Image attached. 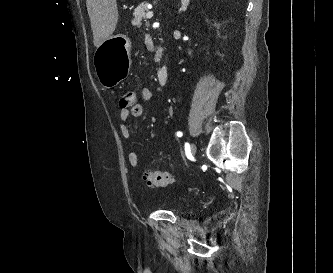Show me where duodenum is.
Segmentation results:
<instances>
[{
  "label": "duodenum",
  "mask_w": 333,
  "mask_h": 273,
  "mask_svg": "<svg viewBox=\"0 0 333 273\" xmlns=\"http://www.w3.org/2000/svg\"><path fill=\"white\" fill-rule=\"evenodd\" d=\"M169 75L170 72L167 66H163L157 71V80L160 86L167 85L169 80Z\"/></svg>",
  "instance_id": "obj_1"
}]
</instances>
